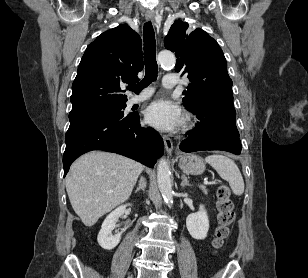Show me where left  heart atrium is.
Wrapping results in <instances>:
<instances>
[{"mask_svg": "<svg viewBox=\"0 0 308 278\" xmlns=\"http://www.w3.org/2000/svg\"><path fill=\"white\" fill-rule=\"evenodd\" d=\"M146 121L161 130H172L182 120L180 108L166 99L152 102L145 111Z\"/></svg>", "mask_w": 308, "mask_h": 278, "instance_id": "obj_1", "label": "left heart atrium"}]
</instances>
